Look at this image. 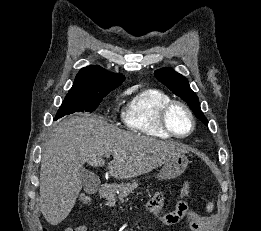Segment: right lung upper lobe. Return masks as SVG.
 I'll use <instances>...</instances> for the list:
<instances>
[{"label":"right lung upper lobe","instance_id":"cb5924a9","mask_svg":"<svg viewBox=\"0 0 261 231\" xmlns=\"http://www.w3.org/2000/svg\"><path fill=\"white\" fill-rule=\"evenodd\" d=\"M125 80L122 74H113L100 66L82 68L69 93H103L117 88Z\"/></svg>","mask_w":261,"mask_h":231}]
</instances>
